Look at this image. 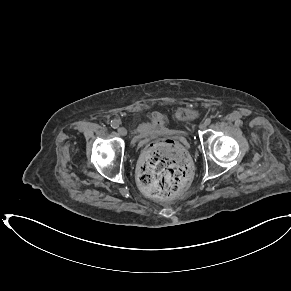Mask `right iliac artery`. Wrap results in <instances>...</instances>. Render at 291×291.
<instances>
[{"instance_id": "1", "label": "right iliac artery", "mask_w": 291, "mask_h": 291, "mask_svg": "<svg viewBox=\"0 0 291 291\" xmlns=\"http://www.w3.org/2000/svg\"><path fill=\"white\" fill-rule=\"evenodd\" d=\"M119 126V122L118 121H111V127L116 129Z\"/></svg>"}]
</instances>
